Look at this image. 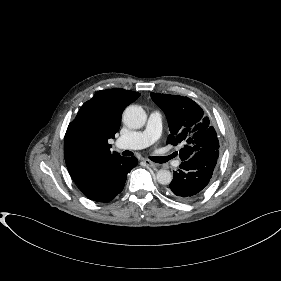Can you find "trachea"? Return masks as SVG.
<instances>
[{
	"label": "trachea",
	"instance_id": "1",
	"mask_svg": "<svg viewBox=\"0 0 281 281\" xmlns=\"http://www.w3.org/2000/svg\"><path fill=\"white\" fill-rule=\"evenodd\" d=\"M122 155L124 156H132L133 153L131 151H124L122 153ZM172 158V156H167V157H152L151 160L157 163H164L167 162L168 160H170Z\"/></svg>",
	"mask_w": 281,
	"mask_h": 281
}]
</instances>
